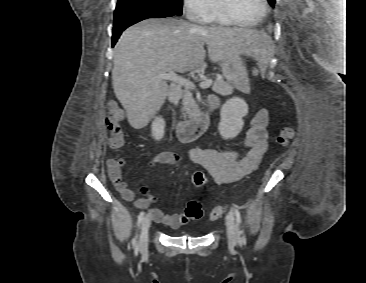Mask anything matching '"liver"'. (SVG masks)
<instances>
[{
	"mask_svg": "<svg viewBox=\"0 0 366 283\" xmlns=\"http://www.w3.org/2000/svg\"><path fill=\"white\" fill-rule=\"evenodd\" d=\"M267 36L245 27H202L182 19H146L126 29L114 49L112 85L129 124L145 127L160 110L168 85L162 74L199 68L205 59L216 63L233 54L264 57Z\"/></svg>",
	"mask_w": 366,
	"mask_h": 283,
	"instance_id": "6515ba94",
	"label": "liver"
}]
</instances>
